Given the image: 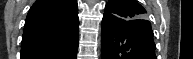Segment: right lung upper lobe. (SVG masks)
<instances>
[{
	"label": "right lung upper lobe",
	"instance_id": "cb5924a9",
	"mask_svg": "<svg viewBox=\"0 0 193 59\" xmlns=\"http://www.w3.org/2000/svg\"><path fill=\"white\" fill-rule=\"evenodd\" d=\"M76 0H37L28 12L21 53L52 51L78 35Z\"/></svg>",
	"mask_w": 193,
	"mask_h": 59
}]
</instances>
